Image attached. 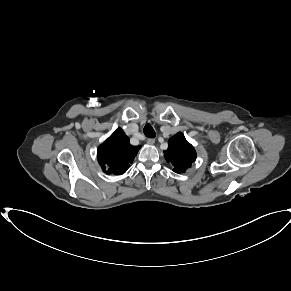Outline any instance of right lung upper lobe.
<instances>
[{"mask_svg": "<svg viewBox=\"0 0 291 291\" xmlns=\"http://www.w3.org/2000/svg\"><path fill=\"white\" fill-rule=\"evenodd\" d=\"M140 146L130 145L122 129L115 132L98 148L97 159L107 174H123L133 162Z\"/></svg>", "mask_w": 291, "mask_h": 291, "instance_id": "right-lung-upper-lobe-1", "label": "right lung upper lobe"}]
</instances>
